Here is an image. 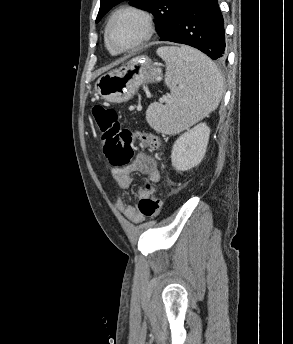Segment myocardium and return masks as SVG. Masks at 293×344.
I'll list each match as a JSON object with an SVG mask.
<instances>
[{"label":"myocardium","mask_w":293,"mask_h":344,"mask_svg":"<svg viewBox=\"0 0 293 344\" xmlns=\"http://www.w3.org/2000/svg\"><path fill=\"white\" fill-rule=\"evenodd\" d=\"M123 14H132L140 20L141 26H142V34L140 38L132 45L124 47V48H115L110 41V28L113 22L115 21V19ZM154 30H155L154 20H153L152 15L148 11L137 6L127 5V6H123L116 9L110 15L105 27L104 38H105L107 47L112 52L116 54H122V53L135 51L141 48L151 39V37L154 34Z\"/></svg>","instance_id":"1"}]
</instances>
